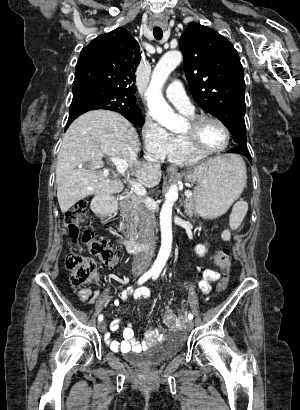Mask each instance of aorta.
<instances>
[{
    "label": "aorta",
    "instance_id": "aorta-1",
    "mask_svg": "<svg viewBox=\"0 0 300 410\" xmlns=\"http://www.w3.org/2000/svg\"><path fill=\"white\" fill-rule=\"evenodd\" d=\"M182 61L179 51L167 52L157 63L152 72L146 96L150 114L159 124L170 131L181 130L184 120L174 113L164 100L162 88L174 68ZM178 199V185L173 184L165 195V201L160 212L161 247L152 269L161 272L164 268L172 247V208Z\"/></svg>",
    "mask_w": 300,
    "mask_h": 410
}]
</instances>
